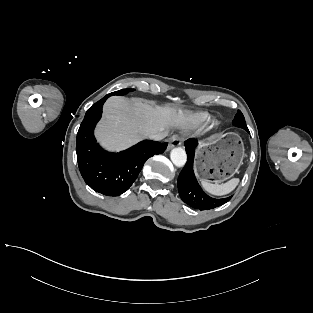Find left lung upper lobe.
<instances>
[{
	"label": "left lung upper lobe",
	"instance_id": "left-lung-upper-lobe-1",
	"mask_svg": "<svg viewBox=\"0 0 313 313\" xmlns=\"http://www.w3.org/2000/svg\"><path fill=\"white\" fill-rule=\"evenodd\" d=\"M232 123L234 126L240 127L242 129L248 131V128H247L246 123H245V118H244V116L240 110H238Z\"/></svg>",
	"mask_w": 313,
	"mask_h": 313
}]
</instances>
